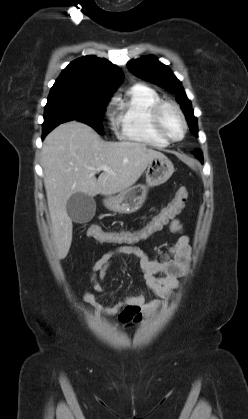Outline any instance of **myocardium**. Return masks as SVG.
Instances as JSON below:
<instances>
[{"instance_id":"obj_1","label":"myocardium","mask_w":248,"mask_h":419,"mask_svg":"<svg viewBox=\"0 0 248 419\" xmlns=\"http://www.w3.org/2000/svg\"><path fill=\"white\" fill-rule=\"evenodd\" d=\"M171 107L173 108L176 113L178 114L182 125H183V131L182 134L179 138H172L170 137L163 129L162 127V123H161V113L163 111V109L165 107ZM150 122H151V126L153 128V130L155 131V133L161 137L163 140H165L167 143H176L179 142L181 140L184 139L187 130H188V124H187V120L185 118V115L183 113V111L181 110V108L179 107V105L173 101H169V100H160L158 102H156L151 110H150Z\"/></svg>"}]
</instances>
